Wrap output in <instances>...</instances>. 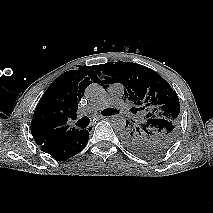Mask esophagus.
<instances>
[{
  "label": "esophagus",
  "mask_w": 213,
  "mask_h": 213,
  "mask_svg": "<svg viewBox=\"0 0 213 213\" xmlns=\"http://www.w3.org/2000/svg\"><path fill=\"white\" fill-rule=\"evenodd\" d=\"M104 118H106V117H104V116H97L96 117L97 120H101V119H104ZM91 127H93V126H89L88 129H91Z\"/></svg>",
  "instance_id": "obj_1"
}]
</instances>
